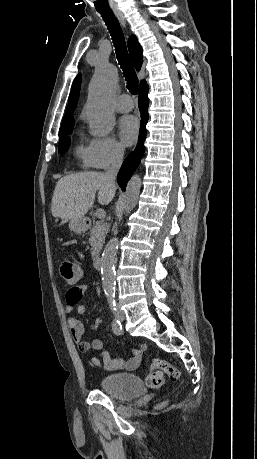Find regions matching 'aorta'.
Segmentation results:
<instances>
[{
	"label": "aorta",
	"instance_id": "obj_1",
	"mask_svg": "<svg viewBox=\"0 0 257 459\" xmlns=\"http://www.w3.org/2000/svg\"><path fill=\"white\" fill-rule=\"evenodd\" d=\"M118 71L115 66L100 64L89 85L87 121L91 133L97 137H106L114 127L115 117L110 103L115 95ZM141 188V178L134 175L129 180L124 196V213L128 214L137 204ZM119 240L113 237L104 248L101 261V274L104 293L112 299L115 295V260Z\"/></svg>",
	"mask_w": 257,
	"mask_h": 459
}]
</instances>
